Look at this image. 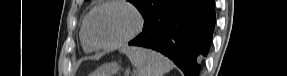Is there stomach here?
<instances>
[{"label": "stomach", "mask_w": 287, "mask_h": 76, "mask_svg": "<svg viewBox=\"0 0 287 76\" xmlns=\"http://www.w3.org/2000/svg\"><path fill=\"white\" fill-rule=\"evenodd\" d=\"M119 69L120 65L116 62L105 63L91 76H113L119 71Z\"/></svg>", "instance_id": "obj_1"}]
</instances>
